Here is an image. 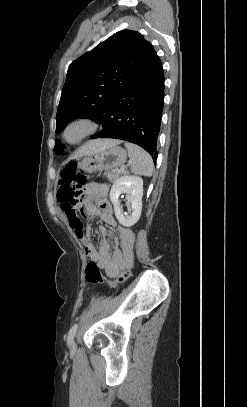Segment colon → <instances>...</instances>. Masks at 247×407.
Here are the masks:
<instances>
[{"mask_svg":"<svg viewBox=\"0 0 247 407\" xmlns=\"http://www.w3.org/2000/svg\"><path fill=\"white\" fill-rule=\"evenodd\" d=\"M86 176L79 171L75 162H70L62 170L59 179V189L57 198L64 203H76L79 200ZM131 274L130 269L125 270L115 281L109 282L110 287H114L126 281ZM105 282L100 267L94 261H90L85 268V283L88 285H97Z\"/></svg>","mask_w":247,"mask_h":407,"instance_id":"5ec220e1","label":"colon"}]
</instances>
